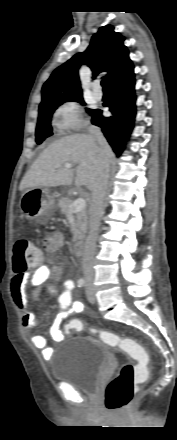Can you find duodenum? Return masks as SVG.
I'll use <instances>...</instances> for the list:
<instances>
[{
  "label": "duodenum",
  "mask_w": 177,
  "mask_h": 440,
  "mask_svg": "<svg viewBox=\"0 0 177 440\" xmlns=\"http://www.w3.org/2000/svg\"><path fill=\"white\" fill-rule=\"evenodd\" d=\"M84 249H85L84 243L81 240L76 241L73 245L74 253L77 256H82L84 254Z\"/></svg>",
  "instance_id": "obj_1"
}]
</instances>
